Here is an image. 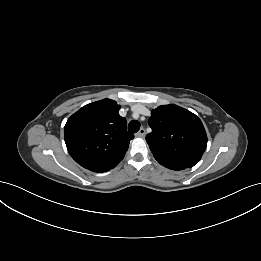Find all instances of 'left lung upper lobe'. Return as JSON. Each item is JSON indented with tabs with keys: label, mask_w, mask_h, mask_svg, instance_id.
I'll use <instances>...</instances> for the list:
<instances>
[{
	"label": "left lung upper lobe",
	"mask_w": 261,
	"mask_h": 261,
	"mask_svg": "<svg viewBox=\"0 0 261 261\" xmlns=\"http://www.w3.org/2000/svg\"><path fill=\"white\" fill-rule=\"evenodd\" d=\"M152 132L146 141L155 159L193 167L201 159L207 135L201 120L177 105H162L149 118Z\"/></svg>",
	"instance_id": "1"
}]
</instances>
